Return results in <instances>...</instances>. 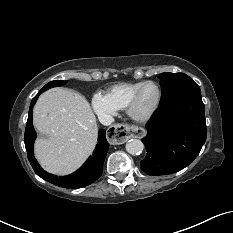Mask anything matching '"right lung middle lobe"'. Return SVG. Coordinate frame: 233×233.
<instances>
[{"mask_svg": "<svg viewBox=\"0 0 233 233\" xmlns=\"http://www.w3.org/2000/svg\"><path fill=\"white\" fill-rule=\"evenodd\" d=\"M66 83V81H60V80H54L52 82H49L48 84H46L42 89L41 91H46L50 88H53V87H57V86H62Z\"/></svg>", "mask_w": 233, "mask_h": 233, "instance_id": "dd1d6c3e", "label": "right lung middle lobe"}]
</instances>
